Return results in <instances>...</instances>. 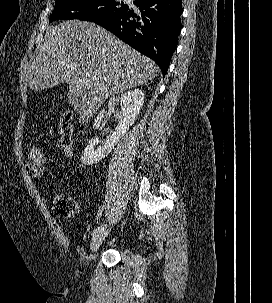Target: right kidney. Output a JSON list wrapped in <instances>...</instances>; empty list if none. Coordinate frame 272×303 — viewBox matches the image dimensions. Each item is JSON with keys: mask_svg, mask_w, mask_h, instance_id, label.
Here are the masks:
<instances>
[{"mask_svg": "<svg viewBox=\"0 0 272 303\" xmlns=\"http://www.w3.org/2000/svg\"><path fill=\"white\" fill-rule=\"evenodd\" d=\"M144 104V93L139 89L127 91L120 97L122 116L116 126L115 131L104 142L97 138L91 139L84 149L81 160L84 165H92L104 159L126 134L138 117ZM106 115V110L102 109L93 124L94 129H99Z\"/></svg>", "mask_w": 272, "mask_h": 303, "instance_id": "1", "label": "right kidney"}]
</instances>
